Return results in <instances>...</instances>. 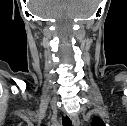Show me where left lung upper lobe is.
<instances>
[{"label": "left lung upper lobe", "mask_w": 127, "mask_h": 126, "mask_svg": "<svg viewBox=\"0 0 127 126\" xmlns=\"http://www.w3.org/2000/svg\"><path fill=\"white\" fill-rule=\"evenodd\" d=\"M92 126H105L104 122L100 118H94L92 121Z\"/></svg>", "instance_id": "obj_1"}]
</instances>
